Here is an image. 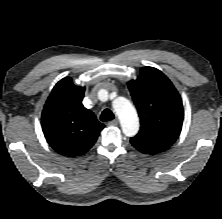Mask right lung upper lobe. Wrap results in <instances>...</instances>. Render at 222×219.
I'll return each instance as SVG.
<instances>
[{
  "label": "right lung upper lobe",
  "instance_id": "1",
  "mask_svg": "<svg viewBox=\"0 0 222 219\" xmlns=\"http://www.w3.org/2000/svg\"><path fill=\"white\" fill-rule=\"evenodd\" d=\"M85 88L71 78L60 80L44 106L41 124L49 145L59 154L75 157L86 153L105 127L82 105Z\"/></svg>",
  "mask_w": 222,
  "mask_h": 219
}]
</instances>
